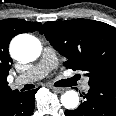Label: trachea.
<instances>
[{
	"mask_svg": "<svg viewBox=\"0 0 116 116\" xmlns=\"http://www.w3.org/2000/svg\"><path fill=\"white\" fill-rule=\"evenodd\" d=\"M74 79L60 80L54 84L56 87H69L72 86Z\"/></svg>",
	"mask_w": 116,
	"mask_h": 116,
	"instance_id": "3493384b",
	"label": "trachea"
}]
</instances>
